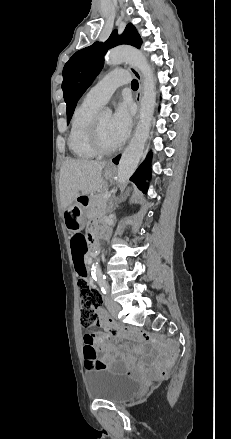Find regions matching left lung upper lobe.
Here are the masks:
<instances>
[{
  "mask_svg": "<svg viewBox=\"0 0 231 439\" xmlns=\"http://www.w3.org/2000/svg\"><path fill=\"white\" fill-rule=\"evenodd\" d=\"M121 44L141 47L142 40L135 27L130 23L121 35L114 30L104 43L94 44L77 51L63 68L62 89L67 104V123H69L77 101L99 74L104 64L107 50Z\"/></svg>",
  "mask_w": 231,
  "mask_h": 439,
  "instance_id": "obj_1",
  "label": "left lung upper lobe"
}]
</instances>
